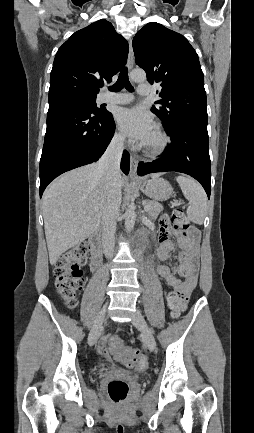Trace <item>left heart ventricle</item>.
Listing matches in <instances>:
<instances>
[{
    "mask_svg": "<svg viewBox=\"0 0 254 433\" xmlns=\"http://www.w3.org/2000/svg\"><path fill=\"white\" fill-rule=\"evenodd\" d=\"M158 142H159V139H158L157 135L155 134V132H153L144 144L149 145V146H154V145L158 144Z\"/></svg>",
    "mask_w": 254,
    "mask_h": 433,
    "instance_id": "1",
    "label": "left heart ventricle"
}]
</instances>
